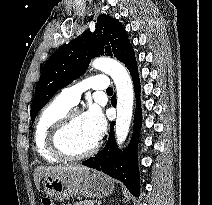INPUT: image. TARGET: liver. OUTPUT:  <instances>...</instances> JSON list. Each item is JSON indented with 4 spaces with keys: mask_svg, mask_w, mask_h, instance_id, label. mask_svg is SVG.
Masks as SVG:
<instances>
[{
    "mask_svg": "<svg viewBox=\"0 0 212 205\" xmlns=\"http://www.w3.org/2000/svg\"><path fill=\"white\" fill-rule=\"evenodd\" d=\"M90 168L86 166L80 165H69V166H40L36 168L34 173V182L36 188L39 189L40 180L44 176L48 175H60L65 172H72V173H86L89 172Z\"/></svg>",
    "mask_w": 212,
    "mask_h": 205,
    "instance_id": "6515ba94",
    "label": "liver"
}]
</instances>
